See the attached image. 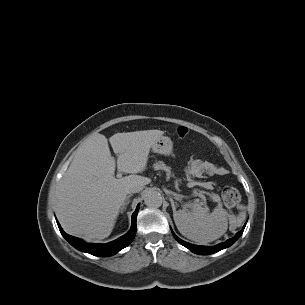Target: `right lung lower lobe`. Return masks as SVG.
I'll return each instance as SVG.
<instances>
[{"label": "right lung lower lobe", "instance_id": "right-lung-lower-lobe-1", "mask_svg": "<svg viewBox=\"0 0 305 305\" xmlns=\"http://www.w3.org/2000/svg\"><path fill=\"white\" fill-rule=\"evenodd\" d=\"M138 210H139V205L137 206L135 212L132 215V226H131V229L129 230V232L126 233L124 236L116 239L115 241H112L107 244L85 243L84 241H82L79 238L66 234L62 230L57 219H56V221H57L61 234L73 247H75L76 249H78L82 252H86V253H89V254H92L95 256L107 257V256H112V255L116 254L117 252H119L121 249L128 246L133 241L135 234H136V230H137L136 216L138 214Z\"/></svg>", "mask_w": 305, "mask_h": 305}]
</instances>
